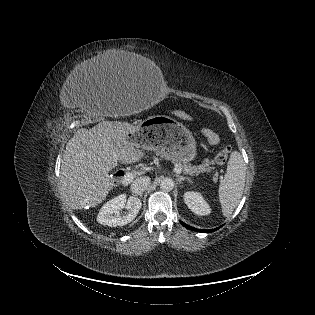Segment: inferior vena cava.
I'll use <instances>...</instances> for the list:
<instances>
[{"mask_svg": "<svg viewBox=\"0 0 315 315\" xmlns=\"http://www.w3.org/2000/svg\"><path fill=\"white\" fill-rule=\"evenodd\" d=\"M151 179L147 176L136 178L131 184V191L135 194L144 192L150 185Z\"/></svg>", "mask_w": 315, "mask_h": 315, "instance_id": "602c4592", "label": "inferior vena cava"}]
</instances>
